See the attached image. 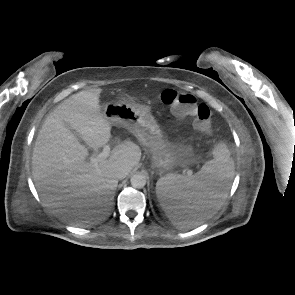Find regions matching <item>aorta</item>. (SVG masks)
<instances>
[{"instance_id":"aorta-1","label":"aorta","mask_w":295,"mask_h":295,"mask_svg":"<svg viewBox=\"0 0 295 295\" xmlns=\"http://www.w3.org/2000/svg\"><path fill=\"white\" fill-rule=\"evenodd\" d=\"M146 181H147L146 175H144L141 172H137V173L133 174L130 179L131 185L134 188L144 187L146 185Z\"/></svg>"}]
</instances>
